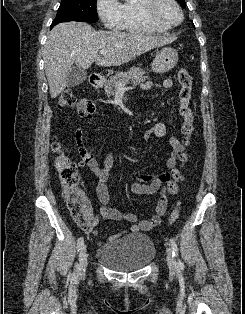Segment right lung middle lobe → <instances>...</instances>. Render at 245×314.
I'll list each match as a JSON object with an SVG mask.
<instances>
[{"mask_svg": "<svg viewBox=\"0 0 245 314\" xmlns=\"http://www.w3.org/2000/svg\"><path fill=\"white\" fill-rule=\"evenodd\" d=\"M96 1L97 0H62L56 18L52 22V26L67 21H97Z\"/></svg>", "mask_w": 245, "mask_h": 314, "instance_id": "obj_1", "label": "right lung middle lobe"}]
</instances>
